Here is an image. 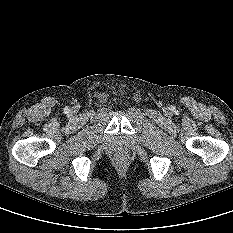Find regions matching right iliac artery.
<instances>
[{
	"instance_id": "right-iliac-artery-1",
	"label": "right iliac artery",
	"mask_w": 233,
	"mask_h": 233,
	"mask_svg": "<svg viewBox=\"0 0 233 233\" xmlns=\"http://www.w3.org/2000/svg\"><path fill=\"white\" fill-rule=\"evenodd\" d=\"M69 111H70L69 107H65V108H64V112H65V113H68Z\"/></svg>"
}]
</instances>
